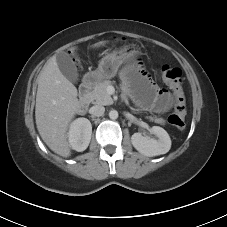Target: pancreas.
I'll return each mask as SVG.
<instances>
[{
	"label": "pancreas",
	"instance_id": "pancreas-1",
	"mask_svg": "<svg viewBox=\"0 0 227 227\" xmlns=\"http://www.w3.org/2000/svg\"><path fill=\"white\" fill-rule=\"evenodd\" d=\"M112 84L110 80H104L98 83L93 90L89 93V98L92 103L100 105H111L113 104V99L107 93V87ZM154 121L159 124H165L163 118H155Z\"/></svg>",
	"mask_w": 227,
	"mask_h": 227
}]
</instances>
